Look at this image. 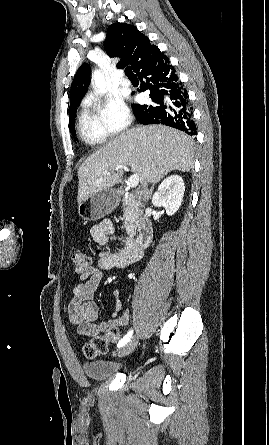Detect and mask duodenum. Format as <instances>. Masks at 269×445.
I'll use <instances>...</instances> for the list:
<instances>
[{
    "label": "duodenum",
    "mask_w": 269,
    "mask_h": 445,
    "mask_svg": "<svg viewBox=\"0 0 269 445\" xmlns=\"http://www.w3.org/2000/svg\"><path fill=\"white\" fill-rule=\"evenodd\" d=\"M133 197L140 201L143 199V194L141 192H136L133 194ZM152 237V222L148 218L141 219L137 227V233L133 241V246L138 250H142L150 244Z\"/></svg>",
    "instance_id": "1"
}]
</instances>
